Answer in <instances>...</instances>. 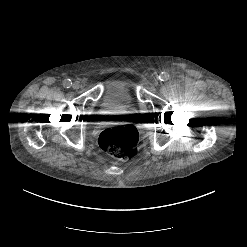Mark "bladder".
I'll return each mask as SVG.
<instances>
[{
    "label": "bladder",
    "mask_w": 247,
    "mask_h": 247,
    "mask_svg": "<svg viewBox=\"0 0 247 247\" xmlns=\"http://www.w3.org/2000/svg\"><path fill=\"white\" fill-rule=\"evenodd\" d=\"M133 102L132 88L129 81L111 79L101 100V109L105 110L115 105H130Z\"/></svg>",
    "instance_id": "obj_1"
}]
</instances>
